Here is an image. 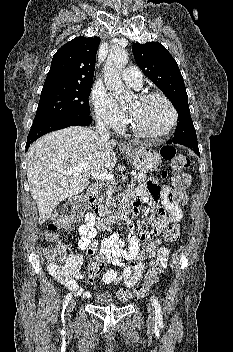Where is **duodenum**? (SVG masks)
<instances>
[{
	"label": "duodenum",
	"mask_w": 233,
	"mask_h": 352,
	"mask_svg": "<svg viewBox=\"0 0 233 352\" xmlns=\"http://www.w3.org/2000/svg\"><path fill=\"white\" fill-rule=\"evenodd\" d=\"M98 186L91 185L84 196V202L87 204L88 208L93 215L97 226L100 229H105L110 226L113 222L118 220H125L131 211L133 206L132 202L129 200L125 205L116 211L104 209L97 202Z\"/></svg>",
	"instance_id": "1"
}]
</instances>
